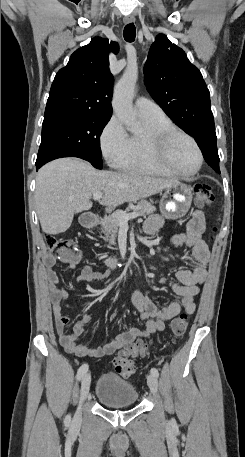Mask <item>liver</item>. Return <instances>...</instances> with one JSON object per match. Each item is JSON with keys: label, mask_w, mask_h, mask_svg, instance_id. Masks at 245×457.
<instances>
[{"label": "liver", "mask_w": 245, "mask_h": 457, "mask_svg": "<svg viewBox=\"0 0 245 457\" xmlns=\"http://www.w3.org/2000/svg\"><path fill=\"white\" fill-rule=\"evenodd\" d=\"M175 178H154L142 172L96 170L81 158H57L39 168L35 202L42 226L48 235L65 233L74 212L89 210L93 192H104L101 204L118 206L161 192L175 184Z\"/></svg>", "instance_id": "liver-1"}]
</instances>
